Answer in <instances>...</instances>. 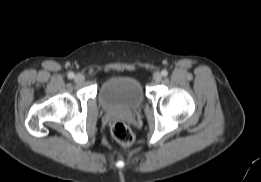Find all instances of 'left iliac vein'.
I'll return each instance as SVG.
<instances>
[{"mask_svg": "<svg viewBox=\"0 0 261 182\" xmlns=\"http://www.w3.org/2000/svg\"><path fill=\"white\" fill-rule=\"evenodd\" d=\"M153 80L155 83H159L162 80V75L160 72H155L153 74Z\"/></svg>", "mask_w": 261, "mask_h": 182, "instance_id": "obj_1", "label": "left iliac vein"}]
</instances>
